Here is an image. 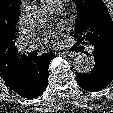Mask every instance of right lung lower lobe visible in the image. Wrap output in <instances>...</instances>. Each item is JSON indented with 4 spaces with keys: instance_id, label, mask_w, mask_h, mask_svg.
Here are the masks:
<instances>
[{
    "instance_id": "obj_1",
    "label": "right lung lower lobe",
    "mask_w": 113,
    "mask_h": 113,
    "mask_svg": "<svg viewBox=\"0 0 113 113\" xmlns=\"http://www.w3.org/2000/svg\"><path fill=\"white\" fill-rule=\"evenodd\" d=\"M53 57L51 53L36 58L25 57L16 75L6 84L21 97L37 98L47 87L48 67Z\"/></svg>"
}]
</instances>
